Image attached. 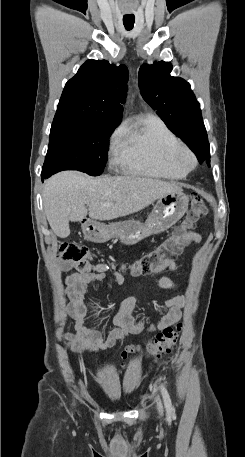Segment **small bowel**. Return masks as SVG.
<instances>
[{"instance_id":"c3829d8e","label":"small bowel","mask_w":245,"mask_h":457,"mask_svg":"<svg viewBox=\"0 0 245 457\" xmlns=\"http://www.w3.org/2000/svg\"><path fill=\"white\" fill-rule=\"evenodd\" d=\"M200 241L201 237L198 233L189 232L186 235L184 244L186 245L192 242L199 243ZM58 267L62 271H69L73 268V265L66 261H59ZM165 270H170L174 273L180 272L177 262L174 259H169L161 263L151 275L159 287L176 290L178 288L177 284L170 277L162 275ZM107 275L118 284H122L124 281L121 273L115 270H109L105 266L75 273L65 280L66 293L69 298L67 313L75 320V331L65 334V338L72 351L97 352L112 348L127 336L143 331L154 332L156 330H163L180 319L181 309L184 305V298L182 296H176L167 300L165 302V306L168 309L167 313L157 323L149 326H146L143 321L134 320L132 313L136 307V299L128 297L120 303L118 310L112 317V323L115 327L109 332L107 338L104 339L100 331L85 325L87 308L83 302V296L90 283L102 281Z\"/></svg>"}]
</instances>
